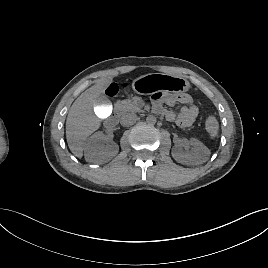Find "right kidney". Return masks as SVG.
Returning a JSON list of instances; mask_svg holds the SVG:
<instances>
[{
    "label": "right kidney",
    "mask_w": 268,
    "mask_h": 268,
    "mask_svg": "<svg viewBox=\"0 0 268 268\" xmlns=\"http://www.w3.org/2000/svg\"><path fill=\"white\" fill-rule=\"evenodd\" d=\"M104 142L102 132L94 133L87 141L84 147V156L87 162L101 164L108 162L119 151V146L114 142Z\"/></svg>",
    "instance_id": "1"
}]
</instances>
